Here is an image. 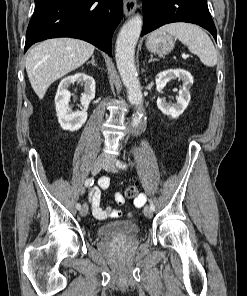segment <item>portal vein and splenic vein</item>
<instances>
[{
    "instance_id": "portal-vein-and-splenic-vein-1",
    "label": "portal vein and splenic vein",
    "mask_w": 247,
    "mask_h": 296,
    "mask_svg": "<svg viewBox=\"0 0 247 296\" xmlns=\"http://www.w3.org/2000/svg\"><path fill=\"white\" fill-rule=\"evenodd\" d=\"M187 57H188V56H187V55H185V56H184V59H186Z\"/></svg>"
}]
</instances>
